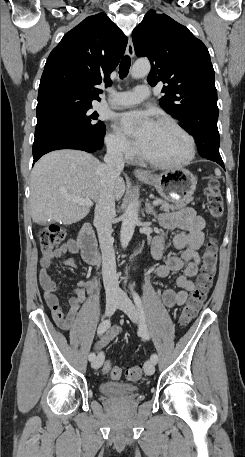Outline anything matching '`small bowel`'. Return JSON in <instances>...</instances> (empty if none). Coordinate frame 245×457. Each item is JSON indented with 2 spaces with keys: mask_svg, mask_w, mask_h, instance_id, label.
<instances>
[{
  "mask_svg": "<svg viewBox=\"0 0 245 457\" xmlns=\"http://www.w3.org/2000/svg\"><path fill=\"white\" fill-rule=\"evenodd\" d=\"M159 223L162 228L161 234L155 238L152 246L154 258L162 257L163 233L169 230L179 231L173 238V245L176 249L182 250L181 256H170L165 258L163 264L155 268L158 277H166L170 272L183 271V274L175 280L177 290L167 288L162 293V300L165 306L173 308L185 304L189 292L194 290V278L198 274L200 258L198 249L204 242L205 220L198 215L193 208H185L172 213H164L159 216ZM78 241L70 239L51 253H45L40 261L39 281L43 290L44 299L51 310L52 317L56 324L69 332L71 343L81 350H89L92 345L91 336L84 328L76 325L74 320L80 304L85 300L88 292L95 291V285L91 281L80 280L74 288V296L68 301V308L64 310L56 295L57 286L49 274V267L52 261L68 253L75 254L79 251ZM63 264L69 268H76L77 261L74 257H68ZM121 332L119 327H113L95 344L96 350H101L110 341L115 339Z\"/></svg>",
  "mask_w": 245,
  "mask_h": 457,
  "instance_id": "1",
  "label": "small bowel"
}]
</instances>
